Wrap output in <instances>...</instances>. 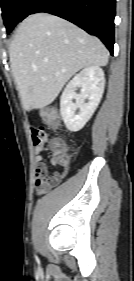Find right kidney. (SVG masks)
<instances>
[{"label":"right kidney","instance_id":"obj_1","mask_svg":"<svg viewBox=\"0 0 134 281\" xmlns=\"http://www.w3.org/2000/svg\"><path fill=\"white\" fill-rule=\"evenodd\" d=\"M104 86V71L97 66L84 68L66 85L60 99V113L68 130L76 132L84 127L100 103ZM77 88H81L80 94L75 92Z\"/></svg>","mask_w":134,"mask_h":281}]
</instances>
